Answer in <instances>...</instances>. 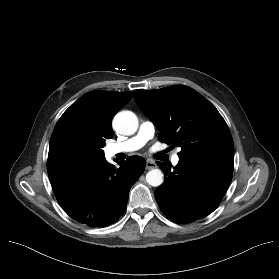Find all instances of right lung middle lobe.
<instances>
[{"instance_id": "obj_1", "label": "right lung middle lobe", "mask_w": 279, "mask_h": 279, "mask_svg": "<svg viewBox=\"0 0 279 279\" xmlns=\"http://www.w3.org/2000/svg\"><path fill=\"white\" fill-rule=\"evenodd\" d=\"M104 158L90 144L79 138H68L55 149L47 162L48 173L83 166Z\"/></svg>"}]
</instances>
